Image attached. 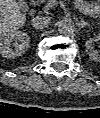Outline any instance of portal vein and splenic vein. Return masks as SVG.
I'll return each instance as SVG.
<instances>
[{
  "instance_id": "portal-vein-and-splenic-vein-1",
  "label": "portal vein and splenic vein",
  "mask_w": 100,
  "mask_h": 118,
  "mask_svg": "<svg viewBox=\"0 0 100 118\" xmlns=\"http://www.w3.org/2000/svg\"><path fill=\"white\" fill-rule=\"evenodd\" d=\"M56 0H48L47 5L45 6V10H49V8H52L56 4Z\"/></svg>"
}]
</instances>
